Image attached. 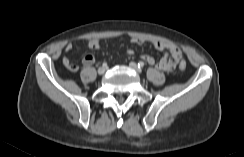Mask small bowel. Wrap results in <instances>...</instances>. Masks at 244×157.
<instances>
[{"label": "small bowel", "instance_id": "small-bowel-1", "mask_svg": "<svg viewBox=\"0 0 244 157\" xmlns=\"http://www.w3.org/2000/svg\"><path fill=\"white\" fill-rule=\"evenodd\" d=\"M131 43L136 45H142L144 43V40L142 38L135 37L131 39ZM151 44L156 49L160 51H165L164 57L158 62H156L151 56L143 54L141 56L142 59L149 65L155 66L158 70L166 72L173 71L182 57L181 50L174 43L171 42L151 41ZM87 46L92 50H96L101 47V42L99 39H91L87 42ZM71 50L72 44H67L65 47V51L70 52ZM127 53L129 55H133L134 51L132 49H128ZM94 62L95 57L90 53L86 54L82 59V63L84 66H91L94 64ZM63 64L67 69L71 71H75L77 69L75 65L70 63L67 57L63 58Z\"/></svg>", "mask_w": 244, "mask_h": 157}]
</instances>
